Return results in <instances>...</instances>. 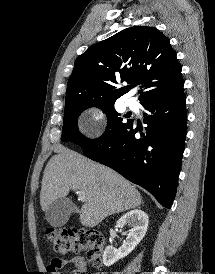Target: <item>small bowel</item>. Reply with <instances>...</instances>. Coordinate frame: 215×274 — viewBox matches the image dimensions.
<instances>
[{"label":"small bowel","mask_w":215,"mask_h":274,"mask_svg":"<svg viewBox=\"0 0 215 274\" xmlns=\"http://www.w3.org/2000/svg\"><path fill=\"white\" fill-rule=\"evenodd\" d=\"M65 267H72L74 274H91L88 271L87 261L81 255L72 256L69 258H52L50 264L47 266V272L51 274H64L61 269ZM106 274V273H100Z\"/></svg>","instance_id":"obj_1"}]
</instances>
